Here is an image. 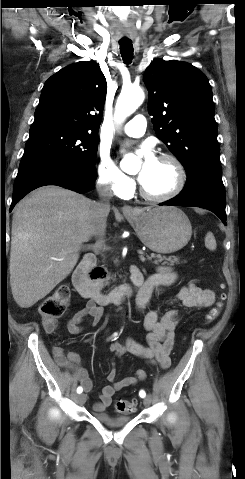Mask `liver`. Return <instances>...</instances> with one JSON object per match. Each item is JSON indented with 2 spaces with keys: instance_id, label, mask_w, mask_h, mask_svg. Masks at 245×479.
<instances>
[{
  "instance_id": "1",
  "label": "liver",
  "mask_w": 245,
  "mask_h": 479,
  "mask_svg": "<svg viewBox=\"0 0 245 479\" xmlns=\"http://www.w3.org/2000/svg\"><path fill=\"white\" fill-rule=\"evenodd\" d=\"M88 198L57 186L41 187L14 208L10 285L21 308L47 296L74 269L94 235Z\"/></svg>"
}]
</instances>
